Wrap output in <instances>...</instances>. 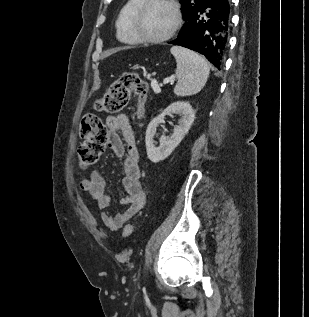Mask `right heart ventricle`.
I'll list each match as a JSON object with an SVG mask.
<instances>
[{
	"label": "right heart ventricle",
	"instance_id": "obj_1",
	"mask_svg": "<svg viewBox=\"0 0 309 317\" xmlns=\"http://www.w3.org/2000/svg\"><path fill=\"white\" fill-rule=\"evenodd\" d=\"M142 0H127L116 19V35L119 41L125 44H137L139 41L131 31L130 19L136 7Z\"/></svg>",
	"mask_w": 309,
	"mask_h": 317
}]
</instances>
